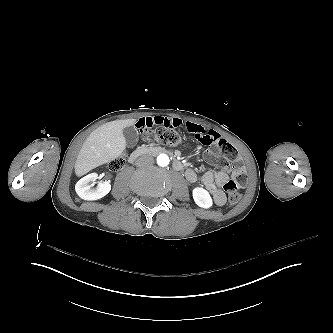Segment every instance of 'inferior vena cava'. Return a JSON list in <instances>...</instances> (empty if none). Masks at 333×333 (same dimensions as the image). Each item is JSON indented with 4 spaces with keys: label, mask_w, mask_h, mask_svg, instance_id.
Instances as JSON below:
<instances>
[{
    "label": "inferior vena cava",
    "mask_w": 333,
    "mask_h": 333,
    "mask_svg": "<svg viewBox=\"0 0 333 333\" xmlns=\"http://www.w3.org/2000/svg\"><path fill=\"white\" fill-rule=\"evenodd\" d=\"M153 162H154V158L152 155L144 154V155H141L139 158H137V160L135 161V165L137 167H143L146 165H150Z\"/></svg>",
    "instance_id": "1"
}]
</instances>
